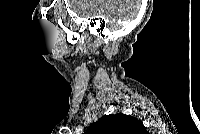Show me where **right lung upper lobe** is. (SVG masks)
I'll return each instance as SVG.
<instances>
[{"instance_id": "cb5924a9", "label": "right lung upper lobe", "mask_w": 200, "mask_h": 134, "mask_svg": "<svg viewBox=\"0 0 200 134\" xmlns=\"http://www.w3.org/2000/svg\"><path fill=\"white\" fill-rule=\"evenodd\" d=\"M146 128L136 118L125 114L102 116L93 123L86 134H146Z\"/></svg>"}]
</instances>
